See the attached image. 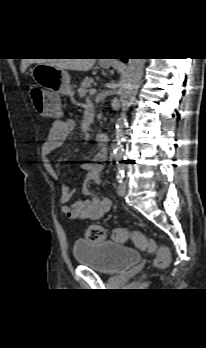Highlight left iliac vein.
Masks as SVG:
<instances>
[{"instance_id":"obj_1","label":"left iliac vein","mask_w":206,"mask_h":348,"mask_svg":"<svg viewBox=\"0 0 206 348\" xmlns=\"http://www.w3.org/2000/svg\"><path fill=\"white\" fill-rule=\"evenodd\" d=\"M117 193L120 196L126 195V193H127V182L126 181H123L118 185Z\"/></svg>"}]
</instances>
